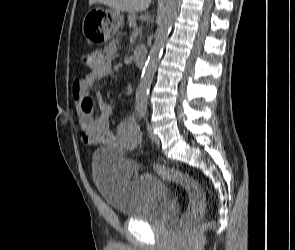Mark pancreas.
I'll return each mask as SVG.
<instances>
[{
  "instance_id": "1",
  "label": "pancreas",
  "mask_w": 295,
  "mask_h": 250,
  "mask_svg": "<svg viewBox=\"0 0 295 250\" xmlns=\"http://www.w3.org/2000/svg\"><path fill=\"white\" fill-rule=\"evenodd\" d=\"M136 17H137V15L135 13H130L128 15L129 25L132 24L133 22H136Z\"/></svg>"
}]
</instances>
